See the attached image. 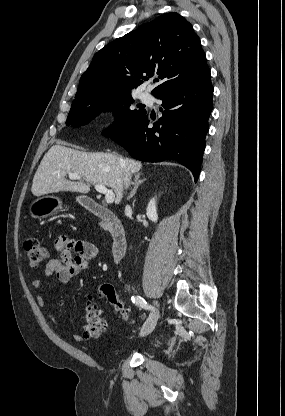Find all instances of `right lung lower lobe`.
<instances>
[{
    "label": "right lung lower lobe",
    "mask_w": 285,
    "mask_h": 416,
    "mask_svg": "<svg viewBox=\"0 0 285 416\" xmlns=\"http://www.w3.org/2000/svg\"><path fill=\"white\" fill-rule=\"evenodd\" d=\"M210 74L197 82L179 86L158 99L163 116L148 128V116L111 138L141 161L175 160L187 167L197 181L212 111Z\"/></svg>",
    "instance_id": "obj_1"
}]
</instances>
